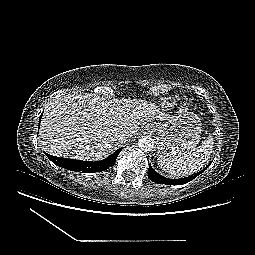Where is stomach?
I'll list each match as a JSON object with an SVG mask.
<instances>
[{
  "label": "stomach",
  "mask_w": 255,
  "mask_h": 255,
  "mask_svg": "<svg viewBox=\"0 0 255 255\" xmlns=\"http://www.w3.org/2000/svg\"><path fill=\"white\" fill-rule=\"evenodd\" d=\"M149 126L158 135V153L163 156H176L194 148L200 141L202 131L200 118L192 112L178 114L165 122L145 125Z\"/></svg>",
  "instance_id": "0dacf381"
}]
</instances>
